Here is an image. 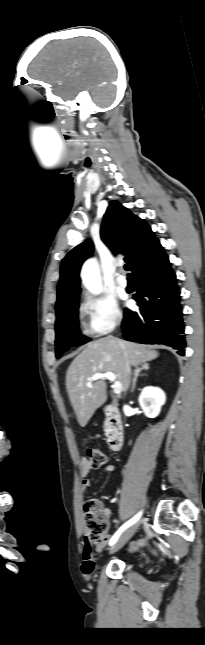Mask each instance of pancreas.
Here are the masks:
<instances>
[{"label": "pancreas", "instance_id": "cf45deb5", "mask_svg": "<svg viewBox=\"0 0 205 645\" xmlns=\"http://www.w3.org/2000/svg\"><path fill=\"white\" fill-rule=\"evenodd\" d=\"M105 431H107V426H105Z\"/></svg>", "mask_w": 205, "mask_h": 645}]
</instances>
